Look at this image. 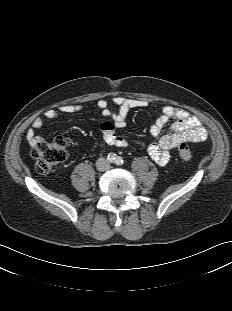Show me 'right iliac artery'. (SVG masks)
Segmentation results:
<instances>
[{"label":"right iliac artery","mask_w":232,"mask_h":311,"mask_svg":"<svg viewBox=\"0 0 232 311\" xmlns=\"http://www.w3.org/2000/svg\"><path fill=\"white\" fill-rule=\"evenodd\" d=\"M108 160L111 161V162H114L115 161V155L114 154H109Z\"/></svg>","instance_id":"right-iliac-artery-1"}]
</instances>
